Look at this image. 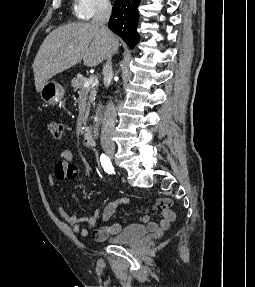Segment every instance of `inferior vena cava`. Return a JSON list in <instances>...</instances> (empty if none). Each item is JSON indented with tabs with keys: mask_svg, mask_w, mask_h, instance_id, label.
<instances>
[{
	"mask_svg": "<svg viewBox=\"0 0 255 287\" xmlns=\"http://www.w3.org/2000/svg\"><path fill=\"white\" fill-rule=\"evenodd\" d=\"M111 4L107 2V0H98L96 12L93 16V20L91 24H98L100 26V30L102 34H104V38H109L112 32L108 30L105 24H108L109 18L111 16ZM105 60H107L106 64L103 66V80L104 86L108 88L111 84V80L113 78L112 72V62L111 58L108 56V52H105ZM116 120V108L113 106L112 102L108 104L105 112V120L103 122L102 130H101V145L102 147H114L112 142V132L114 130Z\"/></svg>",
	"mask_w": 255,
	"mask_h": 287,
	"instance_id": "1",
	"label": "inferior vena cava"
}]
</instances>
